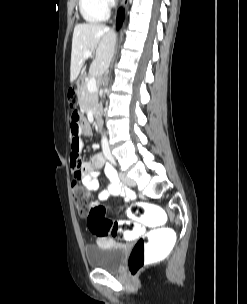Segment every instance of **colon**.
Wrapping results in <instances>:
<instances>
[{"label": "colon", "instance_id": "obj_1", "mask_svg": "<svg viewBox=\"0 0 247 304\" xmlns=\"http://www.w3.org/2000/svg\"><path fill=\"white\" fill-rule=\"evenodd\" d=\"M68 100L71 107L77 105L74 92L68 94ZM72 120L82 119H71V122ZM73 198L79 213L87 216L92 233L125 238V241H136L138 238L128 260L132 275L138 274L151 259H166V253H172V248L177 244L174 225H164L169 216L165 214L160 202H134L128 211L130 220L111 221L105 217L104 206L92 205L91 194L77 184L73 185ZM139 221L141 225H153V229H148L145 233V227H140Z\"/></svg>", "mask_w": 247, "mask_h": 304}]
</instances>
